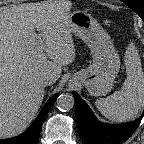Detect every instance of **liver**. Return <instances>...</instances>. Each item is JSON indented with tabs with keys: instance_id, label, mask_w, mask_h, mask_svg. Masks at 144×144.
<instances>
[{
	"instance_id": "obj_1",
	"label": "liver",
	"mask_w": 144,
	"mask_h": 144,
	"mask_svg": "<svg viewBox=\"0 0 144 144\" xmlns=\"http://www.w3.org/2000/svg\"><path fill=\"white\" fill-rule=\"evenodd\" d=\"M71 6L48 0L0 11V138L29 126L44 98L41 79L49 75L56 82L62 66L75 60Z\"/></svg>"
}]
</instances>
